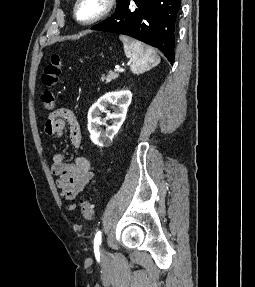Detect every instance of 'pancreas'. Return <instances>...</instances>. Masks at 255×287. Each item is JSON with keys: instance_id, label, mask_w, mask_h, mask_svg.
<instances>
[{"instance_id": "cf45deb5", "label": "pancreas", "mask_w": 255, "mask_h": 287, "mask_svg": "<svg viewBox=\"0 0 255 287\" xmlns=\"http://www.w3.org/2000/svg\"><path fill=\"white\" fill-rule=\"evenodd\" d=\"M116 78H119V74H114V72H108L107 76L105 74H102V78H100L101 82H104L106 80V84H109V82H112V80H116Z\"/></svg>"}]
</instances>
